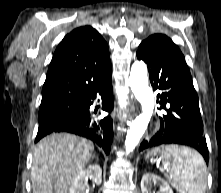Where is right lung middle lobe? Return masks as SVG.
<instances>
[{
	"instance_id": "1",
	"label": "right lung middle lobe",
	"mask_w": 221,
	"mask_h": 193,
	"mask_svg": "<svg viewBox=\"0 0 221 193\" xmlns=\"http://www.w3.org/2000/svg\"><path fill=\"white\" fill-rule=\"evenodd\" d=\"M82 110L81 99H56L41 102L39 128L49 127L76 115Z\"/></svg>"
}]
</instances>
